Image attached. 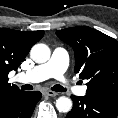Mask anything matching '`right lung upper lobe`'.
<instances>
[{
	"label": "right lung upper lobe",
	"instance_id": "right-lung-upper-lobe-1",
	"mask_svg": "<svg viewBox=\"0 0 118 118\" xmlns=\"http://www.w3.org/2000/svg\"><path fill=\"white\" fill-rule=\"evenodd\" d=\"M44 35V31H17L0 28V103L24 91L8 83V74L17 70L31 47Z\"/></svg>",
	"mask_w": 118,
	"mask_h": 118
}]
</instances>
